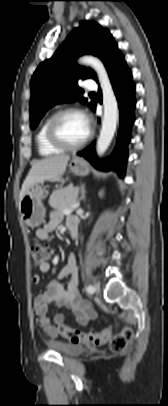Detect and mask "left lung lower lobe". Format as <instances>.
<instances>
[{"label": "left lung lower lobe", "instance_id": "0a47b994", "mask_svg": "<svg viewBox=\"0 0 168 406\" xmlns=\"http://www.w3.org/2000/svg\"><path fill=\"white\" fill-rule=\"evenodd\" d=\"M120 110V129L117 143L110 158L105 162H99L96 158L94 142L78 152L79 156L86 158L96 168L103 170H114L123 177L128 158L127 146L131 137V127L134 123L135 84L132 81L130 69L121 52H119L107 67ZM101 94V91H99ZM96 105L92 109L95 111Z\"/></svg>", "mask_w": 168, "mask_h": 406}]
</instances>
